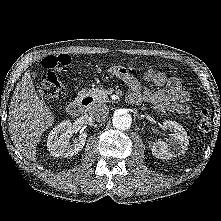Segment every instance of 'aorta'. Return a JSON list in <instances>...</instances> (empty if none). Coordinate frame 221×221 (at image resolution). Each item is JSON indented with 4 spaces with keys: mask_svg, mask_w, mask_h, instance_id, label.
Wrapping results in <instances>:
<instances>
[{
    "mask_svg": "<svg viewBox=\"0 0 221 221\" xmlns=\"http://www.w3.org/2000/svg\"><path fill=\"white\" fill-rule=\"evenodd\" d=\"M112 123L116 129L126 130L132 124V116L126 109H118L114 113Z\"/></svg>",
    "mask_w": 221,
    "mask_h": 221,
    "instance_id": "aorta-1",
    "label": "aorta"
}]
</instances>
